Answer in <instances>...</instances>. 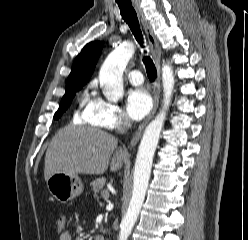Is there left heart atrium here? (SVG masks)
I'll use <instances>...</instances> for the list:
<instances>
[{
    "mask_svg": "<svg viewBox=\"0 0 248 240\" xmlns=\"http://www.w3.org/2000/svg\"><path fill=\"white\" fill-rule=\"evenodd\" d=\"M152 107V99L143 88H136L128 93L126 108L128 115L133 120L145 117Z\"/></svg>",
    "mask_w": 248,
    "mask_h": 240,
    "instance_id": "left-heart-atrium-1",
    "label": "left heart atrium"
}]
</instances>
